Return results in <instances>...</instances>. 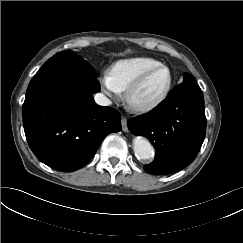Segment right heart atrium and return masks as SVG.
Returning a JSON list of instances; mask_svg holds the SVG:
<instances>
[{
    "label": "right heart atrium",
    "mask_w": 243,
    "mask_h": 243,
    "mask_svg": "<svg viewBox=\"0 0 243 243\" xmlns=\"http://www.w3.org/2000/svg\"><path fill=\"white\" fill-rule=\"evenodd\" d=\"M102 88L111 97L116 98L119 96V91L113 86L108 75H105L102 79Z\"/></svg>",
    "instance_id": "d8ad5b80"
}]
</instances>
